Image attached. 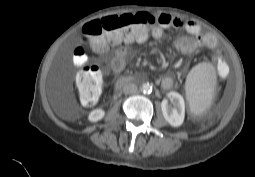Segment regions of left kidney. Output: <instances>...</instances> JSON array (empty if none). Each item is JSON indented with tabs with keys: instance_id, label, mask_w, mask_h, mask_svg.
Instances as JSON below:
<instances>
[{
	"instance_id": "obj_1",
	"label": "left kidney",
	"mask_w": 255,
	"mask_h": 177,
	"mask_svg": "<svg viewBox=\"0 0 255 177\" xmlns=\"http://www.w3.org/2000/svg\"><path fill=\"white\" fill-rule=\"evenodd\" d=\"M167 97L174 100V106L168 105L167 99L161 102V109L165 120L173 127L182 125L185 117V102L177 92H169Z\"/></svg>"
}]
</instances>
